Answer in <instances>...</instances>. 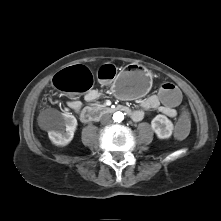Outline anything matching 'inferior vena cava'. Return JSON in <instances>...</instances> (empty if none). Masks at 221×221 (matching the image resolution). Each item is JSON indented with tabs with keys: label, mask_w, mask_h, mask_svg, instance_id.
<instances>
[{
	"label": "inferior vena cava",
	"mask_w": 221,
	"mask_h": 221,
	"mask_svg": "<svg viewBox=\"0 0 221 221\" xmlns=\"http://www.w3.org/2000/svg\"><path fill=\"white\" fill-rule=\"evenodd\" d=\"M101 122H102L103 124H107V123L111 122V120H110V115H104V116L101 118Z\"/></svg>",
	"instance_id": "602c4592"
}]
</instances>
